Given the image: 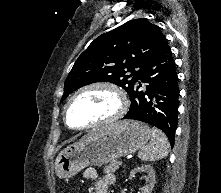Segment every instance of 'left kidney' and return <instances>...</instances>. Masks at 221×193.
<instances>
[{"label":"left kidney","instance_id":"left-kidney-1","mask_svg":"<svg viewBox=\"0 0 221 193\" xmlns=\"http://www.w3.org/2000/svg\"><path fill=\"white\" fill-rule=\"evenodd\" d=\"M138 172H143L147 174L146 184L142 188V193H151L155 184V172L153 168L150 165H143V166L134 168V170L130 172V176L134 177L135 174Z\"/></svg>","mask_w":221,"mask_h":193}]
</instances>
